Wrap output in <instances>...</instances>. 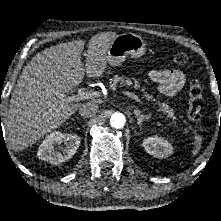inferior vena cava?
<instances>
[{
	"instance_id": "602c4592",
	"label": "inferior vena cava",
	"mask_w": 221,
	"mask_h": 221,
	"mask_svg": "<svg viewBox=\"0 0 221 221\" xmlns=\"http://www.w3.org/2000/svg\"><path fill=\"white\" fill-rule=\"evenodd\" d=\"M98 112V105L94 102H86L79 107V114L84 118L93 117Z\"/></svg>"
}]
</instances>
